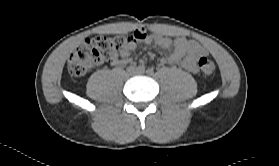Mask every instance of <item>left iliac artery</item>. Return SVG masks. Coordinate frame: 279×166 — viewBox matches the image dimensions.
<instances>
[{
  "label": "left iliac artery",
  "instance_id": "obj_1",
  "mask_svg": "<svg viewBox=\"0 0 279 166\" xmlns=\"http://www.w3.org/2000/svg\"><path fill=\"white\" fill-rule=\"evenodd\" d=\"M146 73H147L148 75H153V74H154V70H153L152 68H148L147 71H146Z\"/></svg>",
  "mask_w": 279,
  "mask_h": 166
}]
</instances>
